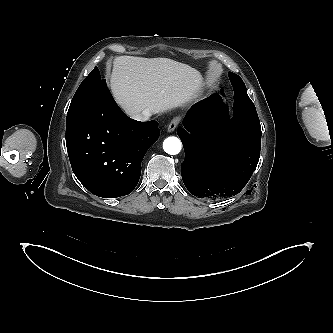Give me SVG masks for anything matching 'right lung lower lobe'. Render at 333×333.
<instances>
[{
    "label": "right lung lower lobe",
    "mask_w": 333,
    "mask_h": 333,
    "mask_svg": "<svg viewBox=\"0 0 333 333\" xmlns=\"http://www.w3.org/2000/svg\"><path fill=\"white\" fill-rule=\"evenodd\" d=\"M158 137V122L129 118L106 84L84 111L66 123L74 174L92 194L104 198L127 195L136 187L142 159Z\"/></svg>",
    "instance_id": "98d812e1"
}]
</instances>
